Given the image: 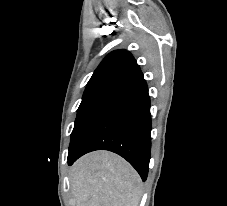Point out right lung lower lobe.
Here are the masks:
<instances>
[{"label": "right lung lower lobe", "mask_w": 227, "mask_h": 206, "mask_svg": "<svg viewBox=\"0 0 227 206\" xmlns=\"http://www.w3.org/2000/svg\"><path fill=\"white\" fill-rule=\"evenodd\" d=\"M150 97L142 78L111 103L96 119L74 151L68 165L94 150H109L125 158L146 181L151 150Z\"/></svg>", "instance_id": "right-lung-lower-lobe-1"}]
</instances>
